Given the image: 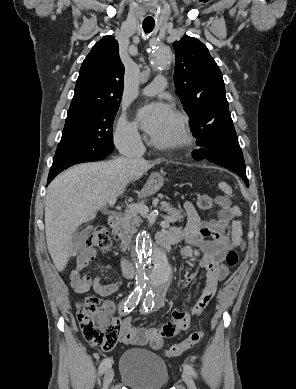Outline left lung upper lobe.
<instances>
[{
    "instance_id": "1",
    "label": "left lung upper lobe",
    "mask_w": 296,
    "mask_h": 389,
    "mask_svg": "<svg viewBox=\"0 0 296 389\" xmlns=\"http://www.w3.org/2000/svg\"><path fill=\"white\" fill-rule=\"evenodd\" d=\"M173 47L175 87L191 118V132L198 138L204 126L229 112L222 73L198 39L184 36Z\"/></svg>"
}]
</instances>
